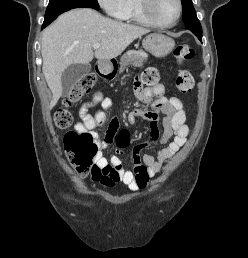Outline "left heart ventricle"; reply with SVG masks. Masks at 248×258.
Listing matches in <instances>:
<instances>
[{"label":"left heart ventricle","mask_w":248,"mask_h":258,"mask_svg":"<svg viewBox=\"0 0 248 258\" xmlns=\"http://www.w3.org/2000/svg\"><path fill=\"white\" fill-rule=\"evenodd\" d=\"M178 11L176 0H153L152 13L162 23L172 22Z\"/></svg>","instance_id":"b2bd125f"}]
</instances>
